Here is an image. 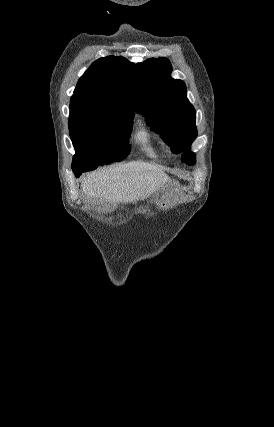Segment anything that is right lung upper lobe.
<instances>
[{
  "mask_svg": "<svg viewBox=\"0 0 274 427\" xmlns=\"http://www.w3.org/2000/svg\"><path fill=\"white\" fill-rule=\"evenodd\" d=\"M134 64L126 58L108 56L95 61L79 79L70 100V111L124 108L134 111L128 97Z\"/></svg>",
  "mask_w": 274,
  "mask_h": 427,
  "instance_id": "cb5924a9",
  "label": "right lung upper lobe"
}]
</instances>
